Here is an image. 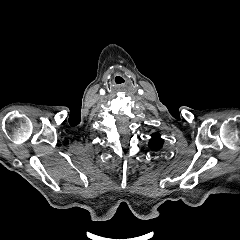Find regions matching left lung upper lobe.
Returning <instances> with one entry per match:
<instances>
[{"instance_id": "5c2ea615", "label": "left lung upper lobe", "mask_w": 240, "mask_h": 240, "mask_svg": "<svg viewBox=\"0 0 240 240\" xmlns=\"http://www.w3.org/2000/svg\"><path fill=\"white\" fill-rule=\"evenodd\" d=\"M152 138L149 141V148L153 151H158L162 148L164 140L160 138L158 132L151 135Z\"/></svg>"}]
</instances>
